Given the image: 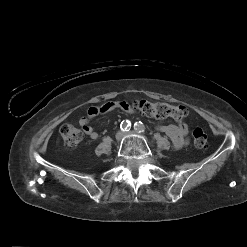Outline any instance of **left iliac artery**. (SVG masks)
Instances as JSON below:
<instances>
[{
	"label": "left iliac artery",
	"mask_w": 247,
	"mask_h": 247,
	"mask_svg": "<svg viewBox=\"0 0 247 247\" xmlns=\"http://www.w3.org/2000/svg\"><path fill=\"white\" fill-rule=\"evenodd\" d=\"M134 129L135 131L142 133L145 130V126L142 122L139 121L134 124Z\"/></svg>",
	"instance_id": "left-iliac-artery-1"
}]
</instances>
